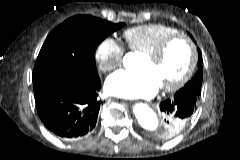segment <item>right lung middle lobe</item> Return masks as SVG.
Listing matches in <instances>:
<instances>
[{
    "instance_id": "obj_1",
    "label": "right lung middle lobe",
    "mask_w": 240,
    "mask_h": 160,
    "mask_svg": "<svg viewBox=\"0 0 240 160\" xmlns=\"http://www.w3.org/2000/svg\"><path fill=\"white\" fill-rule=\"evenodd\" d=\"M122 26L87 15L67 19L45 40L35 63L33 80L53 71L80 79L98 75L93 51L108 34Z\"/></svg>"
}]
</instances>
